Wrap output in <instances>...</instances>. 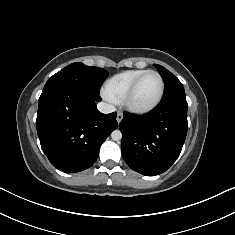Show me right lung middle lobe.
Segmentation results:
<instances>
[{
    "mask_svg": "<svg viewBox=\"0 0 235 235\" xmlns=\"http://www.w3.org/2000/svg\"><path fill=\"white\" fill-rule=\"evenodd\" d=\"M107 75L108 72L102 68L76 62L54 74L47 81L43 91L61 86H74L99 94L100 85Z\"/></svg>",
    "mask_w": 235,
    "mask_h": 235,
    "instance_id": "1",
    "label": "right lung middle lobe"
}]
</instances>
